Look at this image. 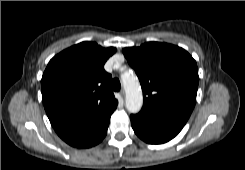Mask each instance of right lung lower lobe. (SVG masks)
Segmentation results:
<instances>
[{"mask_svg": "<svg viewBox=\"0 0 245 170\" xmlns=\"http://www.w3.org/2000/svg\"><path fill=\"white\" fill-rule=\"evenodd\" d=\"M106 133H107V130L93 144H91L89 147H92V146L98 144L99 142H101L103 140V138L105 137Z\"/></svg>", "mask_w": 245, "mask_h": 170, "instance_id": "obj_1", "label": "right lung lower lobe"}]
</instances>
